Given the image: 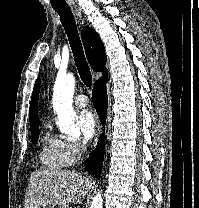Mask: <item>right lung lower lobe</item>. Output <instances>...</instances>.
Here are the masks:
<instances>
[{
  "mask_svg": "<svg viewBox=\"0 0 199 208\" xmlns=\"http://www.w3.org/2000/svg\"><path fill=\"white\" fill-rule=\"evenodd\" d=\"M106 79L96 82L92 92V99L94 107L96 108L99 118L103 125H105L106 113H107V91H106ZM105 151V136L102 135L99 139L98 146L94 152H92L89 158L85 161V168L87 171L95 175L99 179L102 171L103 159Z\"/></svg>",
  "mask_w": 199,
  "mask_h": 208,
  "instance_id": "98d812e1",
  "label": "right lung lower lobe"
}]
</instances>
